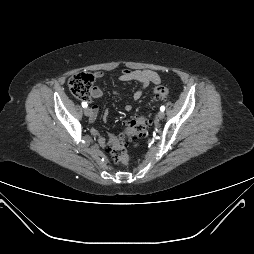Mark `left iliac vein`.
<instances>
[{
  "label": "left iliac vein",
  "instance_id": "left-iliac-vein-1",
  "mask_svg": "<svg viewBox=\"0 0 254 254\" xmlns=\"http://www.w3.org/2000/svg\"><path fill=\"white\" fill-rule=\"evenodd\" d=\"M159 119H163L165 117V113L163 111H160L157 115Z\"/></svg>",
  "mask_w": 254,
  "mask_h": 254
}]
</instances>
